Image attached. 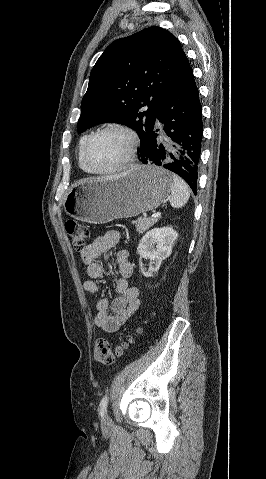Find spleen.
Returning a JSON list of instances; mask_svg holds the SVG:
<instances>
[{"instance_id": "obj_1", "label": "spleen", "mask_w": 266, "mask_h": 479, "mask_svg": "<svg viewBox=\"0 0 266 479\" xmlns=\"http://www.w3.org/2000/svg\"><path fill=\"white\" fill-rule=\"evenodd\" d=\"M170 204L173 208L183 207L190 198L188 185L177 175H173L171 184Z\"/></svg>"}]
</instances>
